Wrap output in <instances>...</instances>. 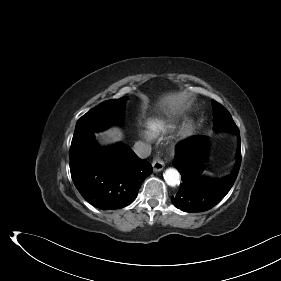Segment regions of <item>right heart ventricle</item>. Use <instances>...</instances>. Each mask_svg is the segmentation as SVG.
<instances>
[{
  "mask_svg": "<svg viewBox=\"0 0 281 281\" xmlns=\"http://www.w3.org/2000/svg\"><path fill=\"white\" fill-rule=\"evenodd\" d=\"M174 128L173 122L161 118H152L147 122V133L151 138L163 136Z\"/></svg>",
  "mask_w": 281,
  "mask_h": 281,
  "instance_id": "e07e8e85",
  "label": "right heart ventricle"
}]
</instances>
